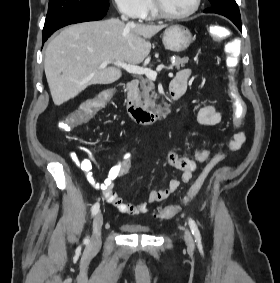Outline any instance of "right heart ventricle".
<instances>
[{"label": "right heart ventricle", "mask_w": 280, "mask_h": 283, "mask_svg": "<svg viewBox=\"0 0 280 283\" xmlns=\"http://www.w3.org/2000/svg\"><path fill=\"white\" fill-rule=\"evenodd\" d=\"M146 17H147V18H150V19H152V18H154V17H155V13L153 12V10H152V7H151V6L149 7V11H148V13H147Z\"/></svg>", "instance_id": "right-heart-ventricle-1"}]
</instances>
